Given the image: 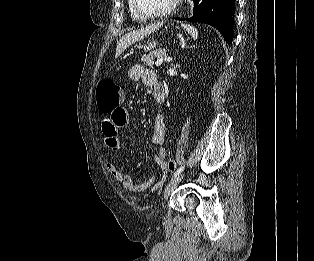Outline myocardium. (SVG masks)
Returning <instances> with one entry per match:
<instances>
[{"label": "myocardium", "mask_w": 314, "mask_h": 261, "mask_svg": "<svg viewBox=\"0 0 314 261\" xmlns=\"http://www.w3.org/2000/svg\"><path fill=\"white\" fill-rule=\"evenodd\" d=\"M180 0H172L171 4L169 5L168 8L159 11V12H147L143 10L139 4V0H133L134 3V8L137 11V13L143 17V18H161V17H166L170 15L178 6Z\"/></svg>", "instance_id": "f54148a6"}]
</instances>
